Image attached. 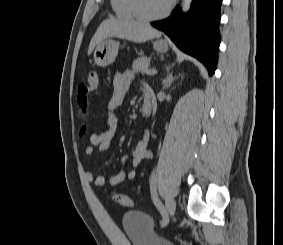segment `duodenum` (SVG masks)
I'll use <instances>...</instances> for the list:
<instances>
[{"label": "duodenum", "instance_id": "1", "mask_svg": "<svg viewBox=\"0 0 283 245\" xmlns=\"http://www.w3.org/2000/svg\"><path fill=\"white\" fill-rule=\"evenodd\" d=\"M153 103L150 94L146 93L144 95L143 105H142V113L144 116L148 117L152 113Z\"/></svg>", "mask_w": 283, "mask_h": 245}]
</instances>
